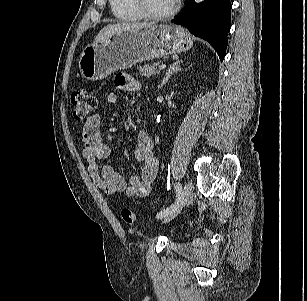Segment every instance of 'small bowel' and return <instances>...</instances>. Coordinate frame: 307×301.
Instances as JSON below:
<instances>
[{"label":"small bowel","instance_id":"c3829d8e","mask_svg":"<svg viewBox=\"0 0 307 301\" xmlns=\"http://www.w3.org/2000/svg\"><path fill=\"white\" fill-rule=\"evenodd\" d=\"M115 83L125 92H137L141 89L140 82L127 74L117 76ZM107 98L109 102L116 99L113 94H109ZM82 139V156L88 163L91 179L100 190L108 195L125 192L129 197H143L150 193L158 171V160L154 154L153 141L147 132H138L134 150L136 160L142 164L140 176H131L128 183L112 167L100 164L101 160L110 156L111 149L102 139L99 115L95 114L85 121Z\"/></svg>","mask_w":307,"mask_h":301}]
</instances>
